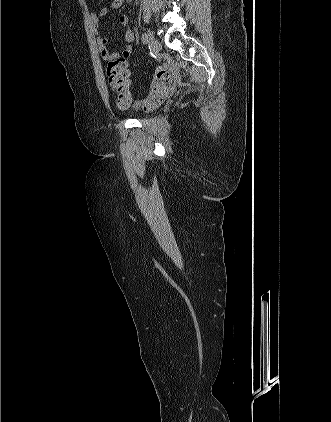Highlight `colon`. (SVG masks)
I'll return each instance as SVG.
<instances>
[{
    "label": "colon",
    "instance_id": "1",
    "mask_svg": "<svg viewBox=\"0 0 331 422\" xmlns=\"http://www.w3.org/2000/svg\"><path fill=\"white\" fill-rule=\"evenodd\" d=\"M106 74L110 87L117 94V106L122 110L132 106L148 110L162 103L166 97L170 73L165 66L156 68L155 80L152 83L149 98L141 102H135L130 94L129 72L124 60L115 59L108 62Z\"/></svg>",
    "mask_w": 331,
    "mask_h": 422
}]
</instances>
